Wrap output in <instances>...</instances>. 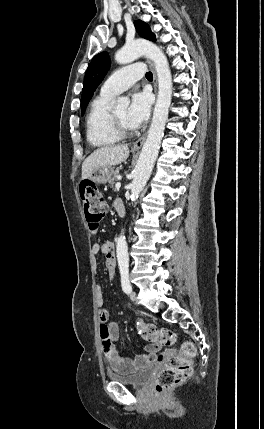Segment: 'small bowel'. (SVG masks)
Wrapping results in <instances>:
<instances>
[{
  "label": "small bowel",
  "instance_id": "obj_1",
  "mask_svg": "<svg viewBox=\"0 0 264 429\" xmlns=\"http://www.w3.org/2000/svg\"><path fill=\"white\" fill-rule=\"evenodd\" d=\"M122 203L121 200H116L114 206ZM115 253L114 245L111 242L95 243L92 246V254L105 255V265L110 279L114 277L115 261L113 255ZM97 301L99 305L100 315V336L103 344L104 355L108 361L110 368L120 374H128L135 372L141 368H147L157 360L159 346L149 344L145 347L143 354L137 355L135 358L122 357L115 349L114 341L119 337V325L113 320H109L108 313L103 307L104 299L102 291L99 289L97 293ZM172 352H166L164 356H168Z\"/></svg>",
  "mask_w": 264,
  "mask_h": 429
}]
</instances>
